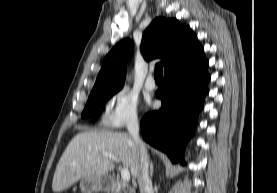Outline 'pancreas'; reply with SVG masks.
Instances as JSON below:
<instances>
[{
    "label": "pancreas",
    "instance_id": "1",
    "mask_svg": "<svg viewBox=\"0 0 277 193\" xmlns=\"http://www.w3.org/2000/svg\"><path fill=\"white\" fill-rule=\"evenodd\" d=\"M115 190L117 193H136L134 188H131L122 182H117L115 184Z\"/></svg>",
    "mask_w": 277,
    "mask_h": 193
}]
</instances>
